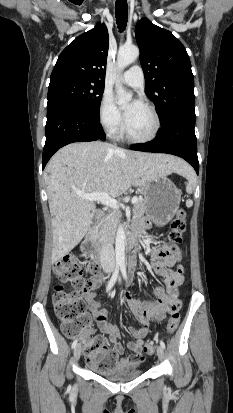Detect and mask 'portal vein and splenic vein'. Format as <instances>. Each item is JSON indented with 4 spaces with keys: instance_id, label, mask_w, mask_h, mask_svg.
I'll return each instance as SVG.
<instances>
[{
    "instance_id": "portal-vein-and-splenic-vein-1",
    "label": "portal vein and splenic vein",
    "mask_w": 233,
    "mask_h": 413,
    "mask_svg": "<svg viewBox=\"0 0 233 413\" xmlns=\"http://www.w3.org/2000/svg\"><path fill=\"white\" fill-rule=\"evenodd\" d=\"M75 194L83 199L89 200V201H99L107 206H109L112 209H118V201L111 196H109L106 192H101V193H91V194H86L80 191H76ZM138 201V198L134 196L132 198V203L135 204Z\"/></svg>"
}]
</instances>
